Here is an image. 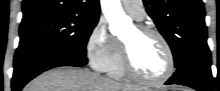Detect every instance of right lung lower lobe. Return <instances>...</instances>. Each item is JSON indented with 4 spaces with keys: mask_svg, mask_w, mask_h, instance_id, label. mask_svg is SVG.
Returning a JSON list of instances; mask_svg holds the SVG:
<instances>
[{
    "mask_svg": "<svg viewBox=\"0 0 220 91\" xmlns=\"http://www.w3.org/2000/svg\"><path fill=\"white\" fill-rule=\"evenodd\" d=\"M88 62L85 55L68 49L47 45H19L14 57L12 91H20L31 79L49 69L59 66H84Z\"/></svg>",
    "mask_w": 220,
    "mask_h": 91,
    "instance_id": "obj_1",
    "label": "right lung lower lobe"
}]
</instances>
